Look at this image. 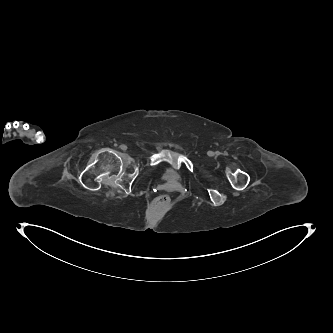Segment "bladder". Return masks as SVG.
I'll use <instances>...</instances> for the list:
<instances>
[{"instance_id":"31cf9c89","label":"bladder","mask_w":333,"mask_h":333,"mask_svg":"<svg viewBox=\"0 0 333 333\" xmlns=\"http://www.w3.org/2000/svg\"><path fill=\"white\" fill-rule=\"evenodd\" d=\"M161 176L164 182L170 186L178 184L183 178L182 171L171 164H167L162 168Z\"/></svg>"}]
</instances>
